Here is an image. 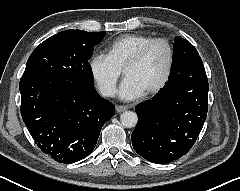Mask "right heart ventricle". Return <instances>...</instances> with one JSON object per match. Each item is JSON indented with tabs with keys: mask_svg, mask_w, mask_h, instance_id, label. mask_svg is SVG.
<instances>
[{
	"mask_svg": "<svg viewBox=\"0 0 240 191\" xmlns=\"http://www.w3.org/2000/svg\"><path fill=\"white\" fill-rule=\"evenodd\" d=\"M153 37L144 34H127L118 37L107 47V55L119 68L123 69L126 62L137 52V50Z\"/></svg>",
	"mask_w": 240,
	"mask_h": 191,
	"instance_id": "e07e8e85",
	"label": "right heart ventricle"
}]
</instances>
